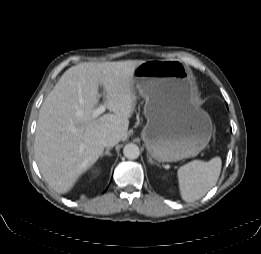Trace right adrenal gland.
<instances>
[{
	"instance_id": "1",
	"label": "right adrenal gland",
	"mask_w": 261,
	"mask_h": 254,
	"mask_svg": "<svg viewBox=\"0 0 261 254\" xmlns=\"http://www.w3.org/2000/svg\"><path fill=\"white\" fill-rule=\"evenodd\" d=\"M111 149H112L111 147H108V148L106 149V151L101 154V157H103V156H105V155L111 157V153H110Z\"/></svg>"
}]
</instances>
